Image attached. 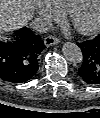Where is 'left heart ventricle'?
<instances>
[{
    "label": "left heart ventricle",
    "mask_w": 100,
    "mask_h": 118,
    "mask_svg": "<svg viewBox=\"0 0 100 118\" xmlns=\"http://www.w3.org/2000/svg\"><path fill=\"white\" fill-rule=\"evenodd\" d=\"M98 6H99L98 1L93 0V2L89 6H87L79 15V18H78L79 24L87 25L91 23L95 19Z\"/></svg>",
    "instance_id": "obj_1"
}]
</instances>
